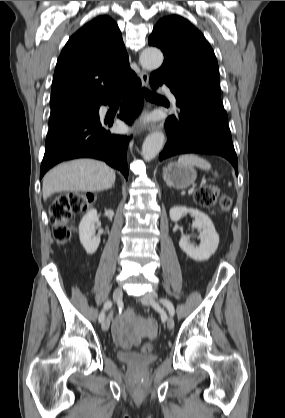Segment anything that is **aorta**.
<instances>
[{
  "mask_svg": "<svg viewBox=\"0 0 285 418\" xmlns=\"http://www.w3.org/2000/svg\"><path fill=\"white\" fill-rule=\"evenodd\" d=\"M140 63L148 70L158 69L163 63V54L157 48H146L140 55ZM165 136L161 132H154L146 137L142 145V156L145 161L154 159L164 146Z\"/></svg>",
  "mask_w": 285,
  "mask_h": 418,
  "instance_id": "762f6f07",
  "label": "aorta"
}]
</instances>
